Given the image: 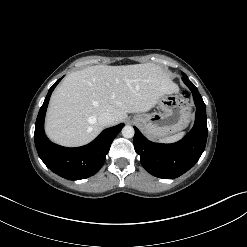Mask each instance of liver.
Wrapping results in <instances>:
<instances>
[{"label":"liver","instance_id":"liver-1","mask_svg":"<svg viewBox=\"0 0 247 247\" xmlns=\"http://www.w3.org/2000/svg\"><path fill=\"white\" fill-rule=\"evenodd\" d=\"M167 72L153 63L96 65L70 73L53 92L46 115L47 136L60 145L82 146L103 129L98 117L147 112L163 94L176 93Z\"/></svg>","mask_w":247,"mask_h":247}]
</instances>
